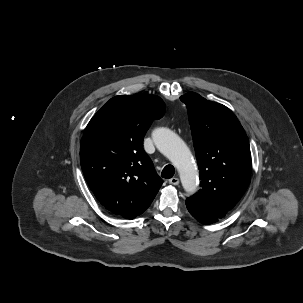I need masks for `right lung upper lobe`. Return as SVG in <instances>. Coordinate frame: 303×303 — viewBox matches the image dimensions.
I'll return each mask as SVG.
<instances>
[{
	"label": "right lung upper lobe",
	"instance_id": "1",
	"mask_svg": "<svg viewBox=\"0 0 303 303\" xmlns=\"http://www.w3.org/2000/svg\"><path fill=\"white\" fill-rule=\"evenodd\" d=\"M164 112V102L155 95L115 96L85 129L83 174L99 202L115 215L133 219L142 214L163 183L143 149V138Z\"/></svg>",
	"mask_w": 303,
	"mask_h": 303
}]
</instances>
